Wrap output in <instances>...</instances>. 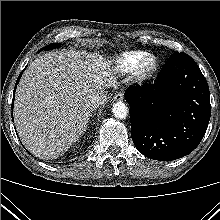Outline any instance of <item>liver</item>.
<instances>
[{"label":"liver","mask_w":220,"mask_h":220,"mask_svg":"<svg viewBox=\"0 0 220 220\" xmlns=\"http://www.w3.org/2000/svg\"><path fill=\"white\" fill-rule=\"evenodd\" d=\"M112 61L96 53L61 50L30 63L15 96L14 123L35 157L56 159L85 132L94 109L90 96L118 86Z\"/></svg>","instance_id":"liver-1"}]
</instances>
